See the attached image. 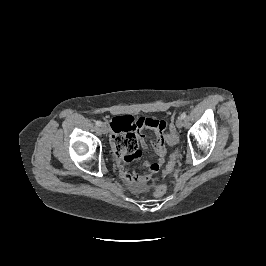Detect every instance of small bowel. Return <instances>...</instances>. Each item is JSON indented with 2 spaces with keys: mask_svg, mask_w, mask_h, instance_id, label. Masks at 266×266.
Wrapping results in <instances>:
<instances>
[{
  "mask_svg": "<svg viewBox=\"0 0 266 266\" xmlns=\"http://www.w3.org/2000/svg\"><path fill=\"white\" fill-rule=\"evenodd\" d=\"M110 127V139L118 159L122 180L132 191H143L146 181L157 173L165 162L167 153L165 144H172L170 131H166V122L161 119L143 117L135 119L133 116L121 115L111 120ZM146 128H151L156 133L153 148L157 159L147 163L148 172L133 173L129 170V165L138 161L142 157L141 149L147 147L144 135Z\"/></svg>",
  "mask_w": 266,
  "mask_h": 266,
  "instance_id": "obj_1",
  "label": "small bowel"
}]
</instances>
